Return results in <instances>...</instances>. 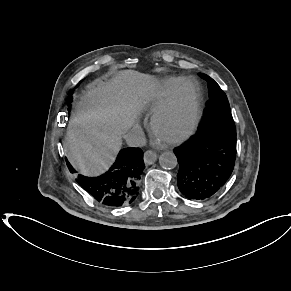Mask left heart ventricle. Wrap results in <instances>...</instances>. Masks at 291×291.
Returning <instances> with one entry per match:
<instances>
[{
  "instance_id": "1",
  "label": "left heart ventricle",
  "mask_w": 291,
  "mask_h": 291,
  "mask_svg": "<svg viewBox=\"0 0 291 291\" xmlns=\"http://www.w3.org/2000/svg\"><path fill=\"white\" fill-rule=\"evenodd\" d=\"M190 122L189 91H185L173 111L160 122L158 135L163 139L173 138L182 133Z\"/></svg>"
}]
</instances>
